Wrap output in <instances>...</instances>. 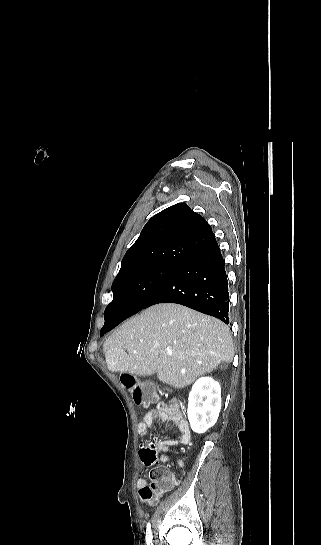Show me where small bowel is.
<instances>
[{
	"mask_svg": "<svg viewBox=\"0 0 321 545\" xmlns=\"http://www.w3.org/2000/svg\"><path fill=\"white\" fill-rule=\"evenodd\" d=\"M156 421H159L168 427L176 426V437L162 440L157 444V451L161 453L159 457H155L151 460L146 458L145 455L141 453V462L147 468L154 466L158 461L163 464L171 463L172 461L168 456L171 447L179 443L186 444L189 442L191 437L190 428L187 422L182 418L177 408L173 405H159L144 413L137 425L138 433L141 436H145L149 428H151ZM173 463L178 468H182L184 466L182 459H176ZM154 471L164 474L174 483V485L178 481L174 473H172L167 467H160L151 471L150 477ZM144 486H146V480L144 478L138 479L137 487L142 488Z\"/></svg>",
	"mask_w": 321,
	"mask_h": 545,
	"instance_id": "c3829d8e",
	"label": "small bowel"
}]
</instances>
